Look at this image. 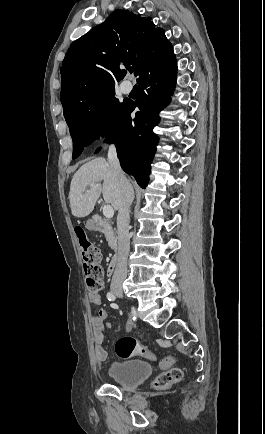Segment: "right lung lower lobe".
<instances>
[{"instance_id":"98d812e1","label":"right lung lower lobe","mask_w":265,"mask_h":434,"mask_svg":"<svg viewBox=\"0 0 265 434\" xmlns=\"http://www.w3.org/2000/svg\"><path fill=\"white\" fill-rule=\"evenodd\" d=\"M176 71L173 49L148 61L138 75L139 98L130 103L121 124L106 138V141L116 143L123 170L133 175L142 188L148 183L149 164L158 142L152 129L159 122L160 110L170 101ZM136 106L140 111L132 120L131 113Z\"/></svg>"}]
</instances>
